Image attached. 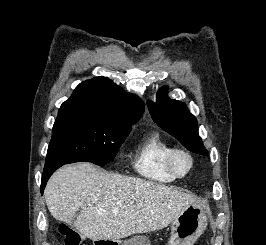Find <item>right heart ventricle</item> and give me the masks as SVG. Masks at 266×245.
<instances>
[{
	"label": "right heart ventricle",
	"mask_w": 266,
	"mask_h": 245,
	"mask_svg": "<svg viewBox=\"0 0 266 245\" xmlns=\"http://www.w3.org/2000/svg\"><path fill=\"white\" fill-rule=\"evenodd\" d=\"M173 144L159 131L143 135L133 148V168L147 181L168 185L178 180L168 168L167 157Z\"/></svg>",
	"instance_id": "e07e8e85"
}]
</instances>
